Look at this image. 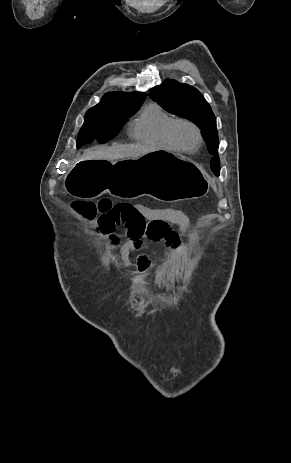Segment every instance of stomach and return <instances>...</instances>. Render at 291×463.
Wrapping results in <instances>:
<instances>
[{
    "instance_id": "obj_1",
    "label": "stomach",
    "mask_w": 291,
    "mask_h": 463,
    "mask_svg": "<svg viewBox=\"0 0 291 463\" xmlns=\"http://www.w3.org/2000/svg\"><path fill=\"white\" fill-rule=\"evenodd\" d=\"M67 191L78 198L94 199L104 193L136 199L150 196L176 202L205 196L206 172L194 161L166 151H152L119 161L114 157L83 158L66 179Z\"/></svg>"
}]
</instances>
